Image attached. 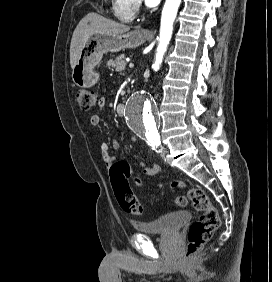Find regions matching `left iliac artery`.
Returning a JSON list of instances; mask_svg holds the SVG:
<instances>
[{
	"mask_svg": "<svg viewBox=\"0 0 272 282\" xmlns=\"http://www.w3.org/2000/svg\"><path fill=\"white\" fill-rule=\"evenodd\" d=\"M160 144H161V142H160V139H157V140H155V141H153V142H151V146L153 147V149L156 147H158V146H160Z\"/></svg>",
	"mask_w": 272,
	"mask_h": 282,
	"instance_id": "1",
	"label": "left iliac artery"
}]
</instances>
